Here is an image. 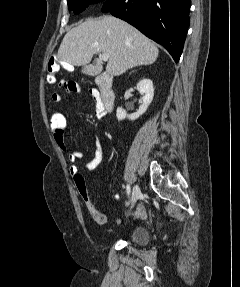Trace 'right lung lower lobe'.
<instances>
[{
  "mask_svg": "<svg viewBox=\"0 0 240 287\" xmlns=\"http://www.w3.org/2000/svg\"><path fill=\"white\" fill-rule=\"evenodd\" d=\"M189 9L190 0H107L102 7L163 45L175 62L182 54Z\"/></svg>",
  "mask_w": 240,
  "mask_h": 287,
  "instance_id": "1",
  "label": "right lung lower lobe"
}]
</instances>
